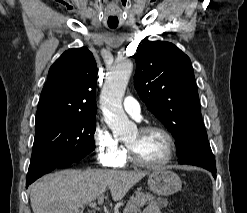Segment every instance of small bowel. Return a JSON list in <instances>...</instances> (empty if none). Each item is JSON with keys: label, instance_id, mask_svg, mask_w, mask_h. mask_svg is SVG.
Here are the masks:
<instances>
[{"label": "small bowel", "instance_id": "obj_1", "mask_svg": "<svg viewBox=\"0 0 247 213\" xmlns=\"http://www.w3.org/2000/svg\"><path fill=\"white\" fill-rule=\"evenodd\" d=\"M143 213H161L155 205H148L144 209Z\"/></svg>", "mask_w": 247, "mask_h": 213}]
</instances>
